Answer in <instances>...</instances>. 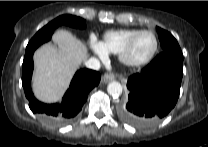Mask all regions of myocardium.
I'll use <instances>...</instances> for the list:
<instances>
[{"mask_svg":"<svg viewBox=\"0 0 208 147\" xmlns=\"http://www.w3.org/2000/svg\"><path fill=\"white\" fill-rule=\"evenodd\" d=\"M143 34H150L153 36L154 41H155L154 49L152 53L146 59L141 60V61H133L130 59V52L136 40ZM158 49H159V41H158L156 34L150 30H140L127 41V43L124 45L122 50L118 53V58H119V61L126 67H129V68L142 67V66L147 65L154 59V57L156 56L158 52Z\"/></svg>","mask_w":208,"mask_h":147,"instance_id":"obj_1","label":"myocardium"}]
</instances>
